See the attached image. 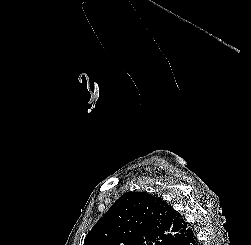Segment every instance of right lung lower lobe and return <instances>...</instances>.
<instances>
[{"instance_id": "1", "label": "right lung lower lobe", "mask_w": 251, "mask_h": 245, "mask_svg": "<svg viewBox=\"0 0 251 245\" xmlns=\"http://www.w3.org/2000/svg\"><path fill=\"white\" fill-rule=\"evenodd\" d=\"M195 233L188 227V230L179 238L171 241L168 245H197Z\"/></svg>"}]
</instances>
